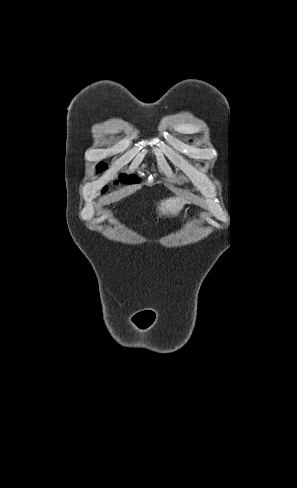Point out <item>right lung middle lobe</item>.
Here are the masks:
<instances>
[{
    "label": "right lung middle lobe",
    "mask_w": 297,
    "mask_h": 488,
    "mask_svg": "<svg viewBox=\"0 0 297 488\" xmlns=\"http://www.w3.org/2000/svg\"><path fill=\"white\" fill-rule=\"evenodd\" d=\"M97 168L99 170H105L107 168L106 164L101 162L98 164ZM140 179L137 178L136 175H129V176H126V175H122L120 177V182L122 183H126V184H132V183H139ZM115 184L118 183V181H115L114 182ZM108 189L107 186H105L102 190V193H105V191Z\"/></svg>",
    "instance_id": "dd1d6c3e"
}]
</instances>
